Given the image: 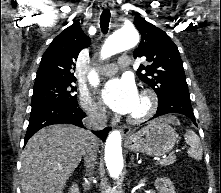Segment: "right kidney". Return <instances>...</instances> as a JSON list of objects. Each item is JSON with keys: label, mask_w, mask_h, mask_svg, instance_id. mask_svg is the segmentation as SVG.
Segmentation results:
<instances>
[{"label": "right kidney", "mask_w": 221, "mask_h": 193, "mask_svg": "<svg viewBox=\"0 0 221 193\" xmlns=\"http://www.w3.org/2000/svg\"><path fill=\"white\" fill-rule=\"evenodd\" d=\"M69 193H79V188L76 184H73L70 188V192Z\"/></svg>", "instance_id": "ca27d5eb"}]
</instances>
